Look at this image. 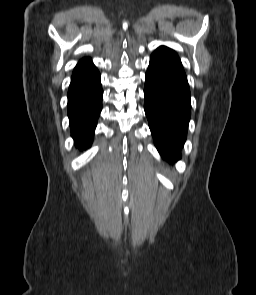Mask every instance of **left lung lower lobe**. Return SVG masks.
Wrapping results in <instances>:
<instances>
[{"label": "left lung lower lobe", "mask_w": 256, "mask_h": 295, "mask_svg": "<svg viewBox=\"0 0 256 295\" xmlns=\"http://www.w3.org/2000/svg\"><path fill=\"white\" fill-rule=\"evenodd\" d=\"M144 99L145 113L159 153L170 162L179 160L191 115L185 73L150 62L145 76Z\"/></svg>", "instance_id": "obj_1"}]
</instances>
